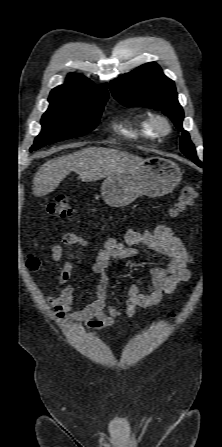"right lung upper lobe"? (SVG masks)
<instances>
[{
  "label": "right lung upper lobe",
  "mask_w": 222,
  "mask_h": 447,
  "mask_svg": "<svg viewBox=\"0 0 222 447\" xmlns=\"http://www.w3.org/2000/svg\"><path fill=\"white\" fill-rule=\"evenodd\" d=\"M50 94H64L79 98L107 97V84L103 86L92 84L86 77L69 74L65 84L54 88Z\"/></svg>",
  "instance_id": "1"
}]
</instances>
